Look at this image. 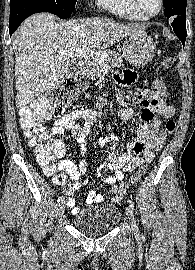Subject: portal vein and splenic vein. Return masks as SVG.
<instances>
[{
    "label": "portal vein and splenic vein",
    "mask_w": 195,
    "mask_h": 270,
    "mask_svg": "<svg viewBox=\"0 0 195 270\" xmlns=\"http://www.w3.org/2000/svg\"><path fill=\"white\" fill-rule=\"evenodd\" d=\"M62 54L68 57L100 58L102 61L107 58V54L105 52H93L88 49L70 50L62 52Z\"/></svg>",
    "instance_id": "obj_1"
}]
</instances>
